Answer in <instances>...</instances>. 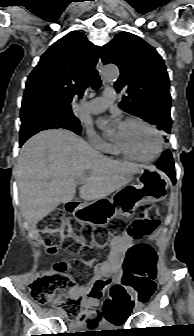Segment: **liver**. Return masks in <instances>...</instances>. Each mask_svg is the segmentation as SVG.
Segmentation results:
<instances>
[{
	"mask_svg": "<svg viewBox=\"0 0 194 336\" xmlns=\"http://www.w3.org/2000/svg\"><path fill=\"white\" fill-rule=\"evenodd\" d=\"M142 165L112 160L70 131L47 130L21 148L16 168L24 219L36 224L59 204L73 200L76 180L83 182L79 196L99 200L132 181ZM89 171V176L83 174Z\"/></svg>",
	"mask_w": 194,
	"mask_h": 336,
	"instance_id": "liver-1",
	"label": "liver"
}]
</instances>
